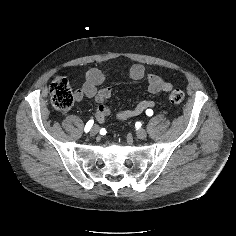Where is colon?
<instances>
[{
    "instance_id": "5ec220e1",
    "label": "colon",
    "mask_w": 236,
    "mask_h": 236,
    "mask_svg": "<svg viewBox=\"0 0 236 236\" xmlns=\"http://www.w3.org/2000/svg\"><path fill=\"white\" fill-rule=\"evenodd\" d=\"M50 96L53 106L66 111L71 108L74 102V94L68 80L64 77H55L50 84ZM169 100L173 104H179L184 100V92L178 88L171 91Z\"/></svg>"
}]
</instances>
